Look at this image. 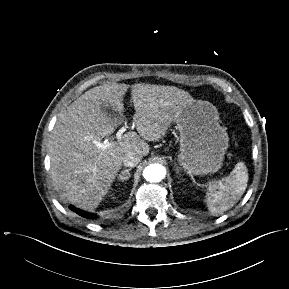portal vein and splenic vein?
I'll list each match as a JSON object with an SVG mask.
<instances>
[{
  "label": "portal vein and splenic vein",
  "instance_id": "portal-vein-and-splenic-vein-1",
  "mask_svg": "<svg viewBox=\"0 0 289 289\" xmlns=\"http://www.w3.org/2000/svg\"><path fill=\"white\" fill-rule=\"evenodd\" d=\"M125 131H126V127H122L121 129H119L118 132L116 133V138L118 140L121 139ZM94 144L101 149H106L112 146V143L108 141H104V142L94 141Z\"/></svg>",
  "mask_w": 289,
  "mask_h": 289
}]
</instances>
